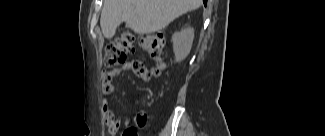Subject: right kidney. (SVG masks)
Returning a JSON list of instances; mask_svg holds the SVG:
<instances>
[{
	"label": "right kidney",
	"instance_id": "ca27d5eb",
	"mask_svg": "<svg viewBox=\"0 0 325 136\" xmlns=\"http://www.w3.org/2000/svg\"><path fill=\"white\" fill-rule=\"evenodd\" d=\"M193 39L194 29L192 27H187L172 35L173 51L176 62H181L188 56L192 47Z\"/></svg>",
	"mask_w": 325,
	"mask_h": 136
}]
</instances>
